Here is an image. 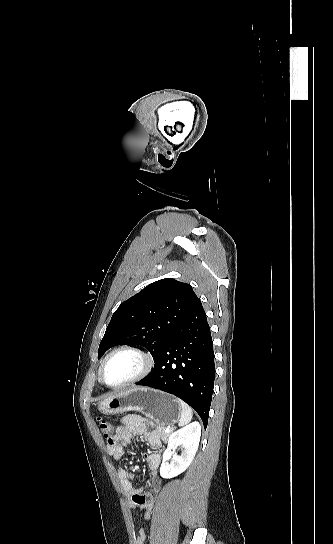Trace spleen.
I'll use <instances>...</instances> for the list:
<instances>
[{
  "mask_svg": "<svg viewBox=\"0 0 333 544\" xmlns=\"http://www.w3.org/2000/svg\"><path fill=\"white\" fill-rule=\"evenodd\" d=\"M177 401H178V403L180 405V409H181L180 419H179L178 425L179 426H184V425L188 424L192 420V417H193L192 409L190 408V406H188L181 399L177 398Z\"/></svg>",
  "mask_w": 333,
  "mask_h": 544,
  "instance_id": "3e777b00",
  "label": "spleen"
}]
</instances>
